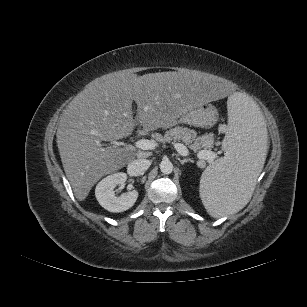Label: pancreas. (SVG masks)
<instances>
[{"label":"pancreas","instance_id":"obj_1","mask_svg":"<svg viewBox=\"0 0 307 307\" xmlns=\"http://www.w3.org/2000/svg\"><path fill=\"white\" fill-rule=\"evenodd\" d=\"M155 139L159 142H183L197 153L200 152L201 149L206 150L211 147V142H207L205 136H197L196 131L187 127L176 126L166 131L164 136L156 134Z\"/></svg>","mask_w":307,"mask_h":307}]
</instances>
